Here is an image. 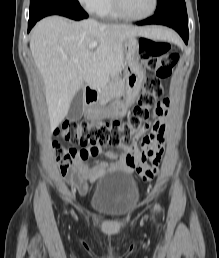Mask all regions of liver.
<instances>
[{"label":"liver","instance_id":"obj_1","mask_svg":"<svg viewBox=\"0 0 219 258\" xmlns=\"http://www.w3.org/2000/svg\"><path fill=\"white\" fill-rule=\"evenodd\" d=\"M166 32L159 27L103 24L93 19L71 22L60 16L38 22L31 33L30 50L43 78L52 129L64 120L71 100L85 84L103 89L109 77L121 71L128 37L175 38ZM94 41L98 45L90 49Z\"/></svg>","mask_w":219,"mask_h":258}]
</instances>
